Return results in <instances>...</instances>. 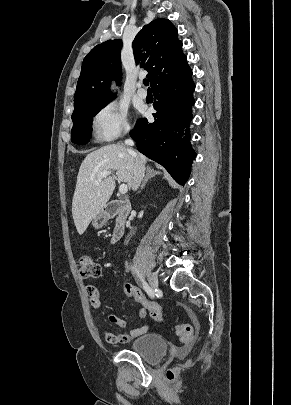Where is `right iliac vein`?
<instances>
[{
    "mask_svg": "<svg viewBox=\"0 0 291 405\" xmlns=\"http://www.w3.org/2000/svg\"><path fill=\"white\" fill-rule=\"evenodd\" d=\"M148 282L152 289L156 290L158 288V278L154 273H148Z\"/></svg>",
    "mask_w": 291,
    "mask_h": 405,
    "instance_id": "obj_1",
    "label": "right iliac vein"
}]
</instances>
